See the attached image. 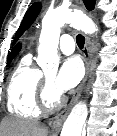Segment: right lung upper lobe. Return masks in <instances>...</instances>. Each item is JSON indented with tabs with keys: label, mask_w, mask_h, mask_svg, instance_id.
<instances>
[{
	"label": "right lung upper lobe",
	"mask_w": 117,
	"mask_h": 136,
	"mask_svg": "<svg viewBox=\"0 0 117 136\" xmlns=\"http://www.w3.org/2000/svg\"><path fill=\"white\" fill-rule=\"evenodd\" d=\"M19 50H20V45H17L13 50H12V52L10 53V55H9V57H8V60H12L15 56H16V54L19 52Z\"/></svg>",
	"instance_id": "obj_1"
}]
</instances>
